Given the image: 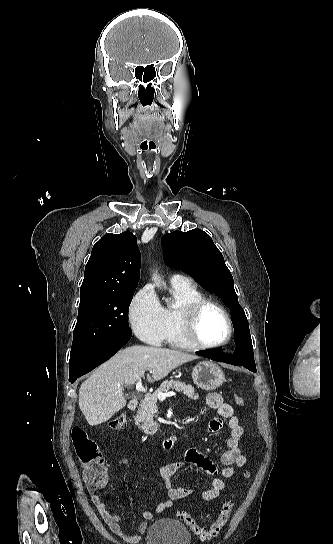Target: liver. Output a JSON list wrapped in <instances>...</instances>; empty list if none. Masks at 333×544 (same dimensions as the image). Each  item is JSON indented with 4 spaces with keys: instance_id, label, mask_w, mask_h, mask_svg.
<instances>
[{
    "instance_id": "obj_1",
    "label": "liver",
    "mask_w": 333,
    "mask_h": 544,
    "mask_svg": "<svg viewBox=\"0 0 333 544\" xmlns=\"http://www.w3.org/2000/svg\"><path fill=\"white\" fill-rule=\"evenodd\" d=\"M198 356L179 350L132 346L119 351L97 368L79 390V407L87 422L96 426L124 408L123 387L135 384L145 371L149 382L163 379L174 368Z\"/></svg>"
}]
</instances>
